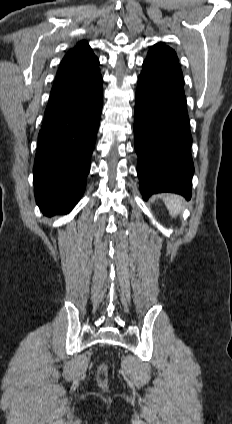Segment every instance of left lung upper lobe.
Returning <instances> with one entry per match:
<instances>
[{
    "label": "left lung upper lobe",
    "instance_id": "1",
    "mask_svg": "<svg viewBox=\"0 0 232 424\" xmlns=\"http://www.w3.org/2000/svg\"><path fill=\"white\" fill-rule=\"evenodd\" d=\"M145 61L152 62H166V61H175L178 62L177 55L173 49L166 46L163 43H157L151 47L148 52L147 58Z\"/></svg>",
    "mask_w": 232,
    "mask_h": 424
}]
</instances>
